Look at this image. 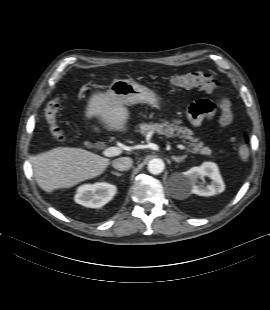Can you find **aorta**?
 <instances>
[{"label": "aorta", "instance_id": "762f6f07", "mask_svg": "<svg viewBox=\"0 0 270 310\" xmlns=\"http://www.w3.org/2000/svg\"><path fill=\"white\" fill-rule=\"evenodd\" d=\"M164 170V162L161 159L155 158L149 161L148 171L151 174L158 175Z\"/></svg>", "mask_w": 270, "mask_h": 310}]
</instances>
